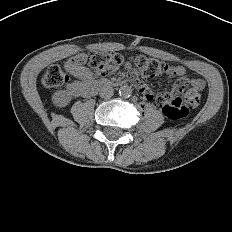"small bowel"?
Listing matches in <instances>:
<instances>
[{
  "mask_svg": "<svg viewBox=\"0 0 232 232\" xmlns=\"http://www.w3.org/2000/svg\"><path fill=\"white\" fill-rule=\"evenodd\" d=\"M75 58L70 59L66 63L67 70L76 78L75 81L70 82L67 85L68 91L74 96H88L87 87L91 83L92 73L84 65L77 64ZM124 68L126 70L124 77L129 82H134L138 90L144 95V97L151 102H154L160 109L162 107L157 103L154 95L148 90V88L140 81H138V74L135 71L137 64L134 60L129 59L125 62ZM167 73L170 77H183L186 73L184 67L176 65L168 67ZM193 87L200 88L201 90L205 86V82L200 78H195L191 81Z\"/></svg>",
  "mask_w": 232,
  "mask_h": 232,
  "instance_id": "obj_1",
  "label": "small bowel"
}]
</instances>
